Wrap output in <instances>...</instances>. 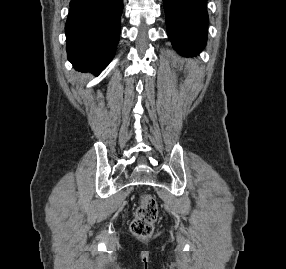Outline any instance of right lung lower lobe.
<instances>
[{
  "instance_id": "98d812e1",
  "label": "right lung lower lobe",
  "mask_w": 286,
  "mask_h": 269,
  "mask_svg": "<svg viewBox=\"0 0 286 269\" xmlns=\"http://www.w3.org/2000/svg\"><path fill=\"white\" fill-rule=\"evenodd\" d=\"M123 0H71L65 33L69 61L99 72L115 54Z\"/></svg>"
}]
</instances>
